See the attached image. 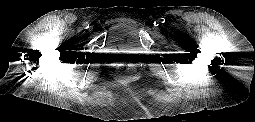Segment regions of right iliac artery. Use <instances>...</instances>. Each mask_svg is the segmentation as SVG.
I'll list each match as a JSON object with an SVG mask.
<instances>
[{"instance_id":"right-iliac-artery-1","label":"right iliac artery","mask_w":255,"mask_h":122,"mask_svg":"<svg viewBox=\"0 0 255 122\" xmlns=\"http://www.w3.org/2000/svg\"><path fill=\"white\" fill-rule=\"evenodd\" d=\"M83 27H84L85 29H88V28H89V24H88L87 22H85V23L83 24Z\"/></svg>"}]
</instances>
